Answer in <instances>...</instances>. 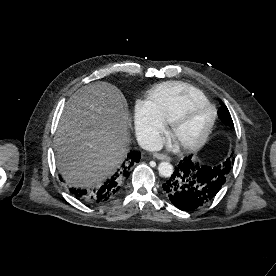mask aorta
Wrapping results in <instances>:
<instances>
[{"label": "aorta", "instance_id": "1", "mask_svg": "<svg viewBox=\"0 0 276 276\" xmlns=\"http://www.w3.org/2000/svg\"><path fill=\"white\" fill-rule=\"evenodd\" d=\"M158 171L161 176L168 178L171 177L174 169L169 162L163 161L159 164Z\"/></svg>", "mask_w": 276, "mask_h": 276}]
</instances>
